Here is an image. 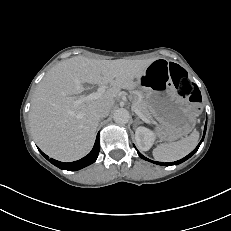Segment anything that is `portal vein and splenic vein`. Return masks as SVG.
Masks as SVG:
<instances>
[{
  "instance_id": "18ae733b",
  "label": "portal vein and splenic vein",
  "mask_w": 231,
  "mask_h": 231,
  "mask_svg": "<svg viewBox=\"0 0 231 231\" xmlns=\"http://www.w3.org/2000/svg\"><path fill=\"white\" fill-rule=\"evenodd\" d=\"M105 93V88L104 87H100L98 88L97 92L92 93L86 97H81L77 103L81 102V101H89V100H93V99H97L99 97H101L103 94ZM135 112L136 114L145 122H149V120L140 112V110H138L137 108H135Z\"/></svg>"
}]
</instances>
